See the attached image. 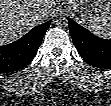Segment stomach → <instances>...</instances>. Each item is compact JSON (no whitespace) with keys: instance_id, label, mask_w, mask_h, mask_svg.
Instances as JSON below:
<instances>
[{"instance_id":"0dacf381","label":"stomach","mask_w":111,"mask_h":106,"mask_svg":"<svg viewBox=\"0 0 111 106\" xmlns=\"http://www.w3.org/2000/svg\"><path fill=\"white\" fill-rule=\"evenodd\" d=\"M66 5L69 9L80 14L86 24L96 17L104 18L111 8V2L107 0H74L68 1Z\"/></svg>"}]
</instances>
